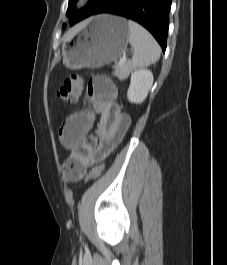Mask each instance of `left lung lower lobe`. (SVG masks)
Returning <instances> with one entry per match:
<instances>
[{
    "label": "left lung lower lobe",
    "mask_w": 227,
    "mask_h": 265,
    "mask_svg": "<svg viewBox=\"0 0 227 265\" xmlns=\"http://www.w3.org/2000/svg\"><path fill=\"white\" fill-rule=\"evenodd\" d=\"M171 2L172 0H106L91 15L109 13L132 19L148 29L165 51Z\"/></svg>",
    "instance_id": "left-lung-lower-lobe-1"
}]
</instances>
